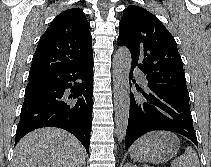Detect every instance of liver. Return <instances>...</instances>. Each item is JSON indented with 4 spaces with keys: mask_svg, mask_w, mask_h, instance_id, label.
<instances>
[{
    "mask_svg": "<svg viewBox=\"0 0 211 167\" xmlns=\"http://www.w3.org/2000/svg\"><path fill=\"white\" fill-rule=\"evenodd\" d=\"M85 149L70 133L59 128H41L16 145L11 167H82Z\"/></svg>",
    "mask_w": 211,
    "mask_h": 167,
    "instance_id": "liver-1",
    "label": "liver"
}]
</instances>
